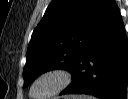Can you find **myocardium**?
<instances>
[{
	"label": "myocardium",
	"mask_w": 128,
	"mask_h": 99,
	"mask_svg": "<svg viewBox=\"0 0 128 99\" xmlns=\"http://www.w3.org/2000/svg\"><path fill=\"white\" fill-rule=\"evenodd\" d=\"M49 76L57 77L59 79L58 85L51 92H49L44 96H35L33 94V90L36 84L43 78H46ZM72 81H73V73L71 72V70H69L66 67H53V68L47 69L41 72L32 82L30 86V96L33 98H43V99L53 97L59 94L60 92H62L63 90H65L72 83Z\"/></svg>",
	"instance_id": "f54148a6"
}]
</instances>
